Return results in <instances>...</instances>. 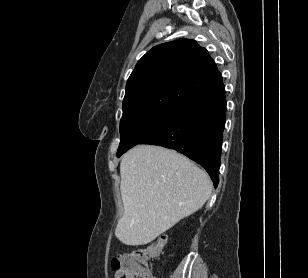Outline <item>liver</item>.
<instances>
[{
  "label": "liver",
  "instance_id": "obj_1",
  "mask_svg": "<svg viewBox=\"0 0 308 278\" xmlns=\"http://www.w3.org/2000/svg\"><path fill=\"white\" fill-rule=\"evenodd\" d=\"M124 206L115 236L126 245L153 241L203 207L212 184L208 174L175 150L137 145L120 164Z\"/></svg>",
  "mask_w": 308,
  "mask_h": 278
}]
</instances>
